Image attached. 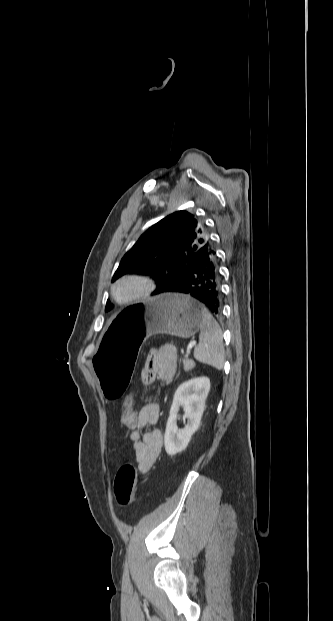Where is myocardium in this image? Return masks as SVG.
<instances>
[{
	"label": "myocardium",
	"mask_w": 333,
	"mask_h": 621,
	"mask_svg": "<svg viewBox=\"0 0 333 621\" xmlns=\"http://www.w3.org/2000/svg\"><path fill=\"white\" fill-rule=\"evenodd\" d=\"M124 282H135L138 283L141 288L140 290L131 297L120 299L117 295V288ZM156 289V285L154 280L148 275L141 273H128L117 278L111 285V296L114 301L121 305H129L134 304L139 301H142L153 294Z\"/></svg>",
	"instance_id": "1"
}]
</instances>
